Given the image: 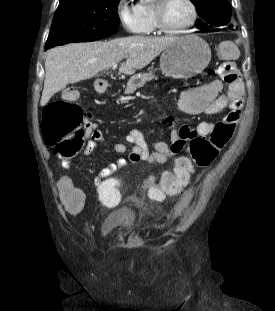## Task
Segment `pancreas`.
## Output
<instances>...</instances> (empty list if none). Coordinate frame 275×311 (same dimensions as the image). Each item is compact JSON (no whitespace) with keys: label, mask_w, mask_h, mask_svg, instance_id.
<instances>
[{"label":"pancreas","mask_w":275,"mask_h":311,"mask_svg":"<svg viewBox=\"0 0 275 311\" xmlns=\"http://www.w3.org/2000/svg\"><path fill=\"white\" fill-rule=\"evenodd\" d=\"M152 79H158L151 71L149 73H139L130 78L127 83L125 94H132L138 88H141L145 85L146 82L151 81Z\"/></svg>","instance_id":"cf45deb5"}]
</instances>
